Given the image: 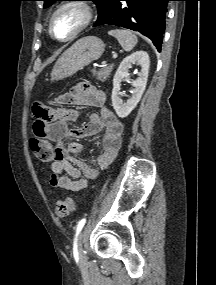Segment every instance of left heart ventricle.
<instances>
[{
  "label": "left heart ventricle",
  "instance_id": "left-heart-ventricle-1",
  "mask_svg": "<svg viewBox=\"0 0 216 285\" xmlns=\"http://www.w3.org/2000/svg\"><path fill=\"white\" fill-rule=\"evenodd\" d=\"M82 13L73 8L61 11L54 19L53 33L58 38L69 36L81 23Z\"/></svg>",
  "mask_w": 216,
  "mask_h": 285
}]
</instances>
